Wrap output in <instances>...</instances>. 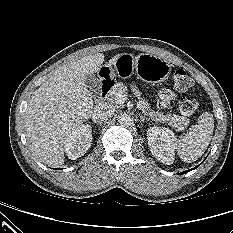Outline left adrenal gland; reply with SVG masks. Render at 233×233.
I'll return each instance as SVG.
<instances>
[{
  "label": "left adrenal gland",
  "mask_w": 233,
  "mask_h": 233,
  "mask_svg": "<svg viewBox=\"0 0 233 233\" xmlns=\"http://www.w3.org/2000/svg\"><path fill=\"white\" fill-rule=\"evenodd\" d=\"M140 119H141L142 122H144V121H149V119H147V118L144 117V116H140Z\"/></svg>",
  "instance_id": "left-adrenal-gland-1"
}]
</instances>
